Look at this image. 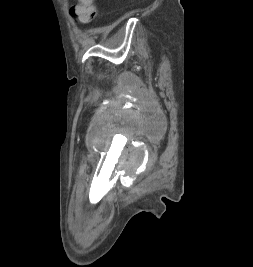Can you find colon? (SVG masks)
Instances as JSON below:
<instances>
[{
  "mask_svg": "<svg viewBox=\"0 0 253 267\" xmlns=\"http://www.w3.org/2000/svg\"><path fill=\"white\" fill-rule=\"evenodd\" d=\"M70 13L80 23L93 21L97 14L94 0H79V4L71 7Z\"/></svg>",
  "mask_w": 253,
  "mask_h": 267,
  "instance_id": "1",
  "label": "colon"
}]
</instances>
